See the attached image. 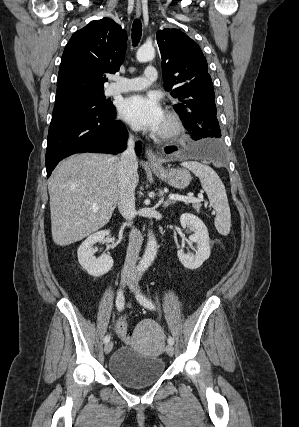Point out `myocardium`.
Here are the masks:
<instances>
[{"instance_id": "f54148a6", "label": "myocardium", "mask_w": 299, "mask_h": 427, "mask_svg": "<svg viewBox=\"0 0 299 427\" xmlns=\"http://www.w3.org/2000/svg\"><path fill=\"white\" fill-rule=\"evenodd\" d=\"M182 131L180 118L174 112H167L165 116V127L161 129L157 136L162 140H170L177 137Z\"/></svg>"}]
</instances>
